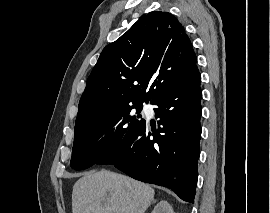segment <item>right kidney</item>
Wrapping results in <instances>:
<instances>
[{
  "mask_svg": "<svg viewBox=\"0 0 270 213\" xmlns=\"http://www.w3.org/2000/svg\"><path fill=\"white\" fill-rule=\"evenodd\" d=\"M151 213H174L172 206L165 200L160 201Z\"/></svg>",
  "mask_w": 270,
  "mask_h": 213,
  "instance_id": "1",
  "label": "right kidney"
}]
</instances>
